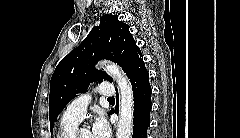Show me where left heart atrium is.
<instances>
[{
	"mask_svg": "<svg viewBox=\"0 0 240 138\" xmlns=\"http://www.w3.org/2000/svg\"><path fill=\"white\" fill-rule=\"evenodd\" d=\"M90 132L92 138H108L110 129L103 116L100 115L95 119L92 130Z\"/></svg>",
	"mask_w": 240,
	"mask_h": 138,
	"instance_id": "obj_1",
	"label": "left heart atrium"
}]
</instances>
